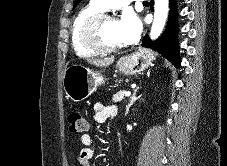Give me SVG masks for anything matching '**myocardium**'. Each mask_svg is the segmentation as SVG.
I'll return each mask as SVG.
<instances>
[{
  "mask_svg": "<svg viewBox=\"0 0 227 166\" xmlns=\"http://www.w3.org/2000/svg\"><path fill=\"white\" fill-rule=\"evenodd\" d=\"M115 19L109 12L96 13L88 17L80 28V39L82 43L96 53L110 54L122 48V45L108 47L99 40V28L101 24L108 20Z\"/></svg>",
  "mask_w": 227,
  "mask_h": 166,
  "instance_id": "f54148a6",
  "label": "myocardium"
}]
</instances>
